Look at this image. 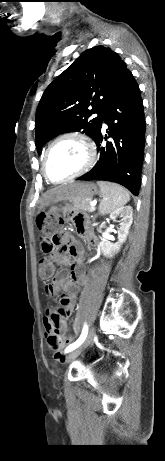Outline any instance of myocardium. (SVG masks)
<instances>
[{
	"label": "myocardium",
	"mask_w": 165,
	"mask_h": 461,
	"mask_svg": "<svg viewBox=\"0 0 165 461\" xmlns=\"http://www.w3.org/2000/svg\"><path fill=\"white\" fill-rule=\"evenodd\" d=\"M69 139L76 140L80 142V144L83 146L85 154H86L85 163L79 170H77L73 174L63 179H60V180H53L52 178H50L47 172V169H46V160H47L48 154L50 153L51 149L57 143L63 140H69ZM95 160H96V150H95L94 144L85 134H82L79 132H66L56 137L45 149L43 158H42V172L47 181L53 184H60V183H64L72 179H75L77 177H80L86 172H88L93 167Z\"/></svg>",
	"instance_id": "1"
}]
</instances>
